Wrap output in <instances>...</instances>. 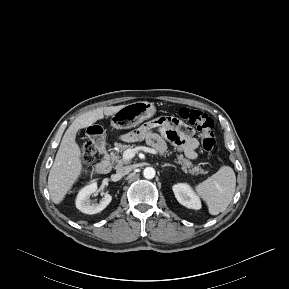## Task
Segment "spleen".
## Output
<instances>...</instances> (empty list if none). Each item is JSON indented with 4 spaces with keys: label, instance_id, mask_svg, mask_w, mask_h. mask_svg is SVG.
<instances>
[{
    "label": "spleen",
    "instance_id": "3e777b00",
    "mask_svg": "<svg viewBox=\"0 0 289 289\" xmlns=\"http://www.w3.org/2000/svg\"><path fill=\"white\" fill-rule=\"evenodd\" d=\"M236 176L234 170L227 165L207 180L197 184L195 189L206 202L211 215H218L226 210L235 193Z\"/></svg>",
    "mask_w": 289,
    "mask_h": 289
}]
</instances>
